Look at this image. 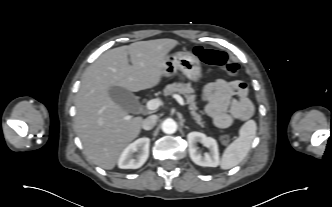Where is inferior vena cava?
<instances>
[{
	"label": "inferior vena cava",
	"instance_id": "inferior-vena-cava-1",
	"mask_svg": "<svg viewBox=\"0 0 332 207\" xmlns=\"http://www.w3.org/2000/svg\"><path fill=\"white\" fill-rule=\"evenodd\" d=\"M157 116L151 115L143 120L142 128L144 130H151L156 125Z\"/></svg>",
	"mask_w": 332,
	"mask_h": 207
}]
</instances>
